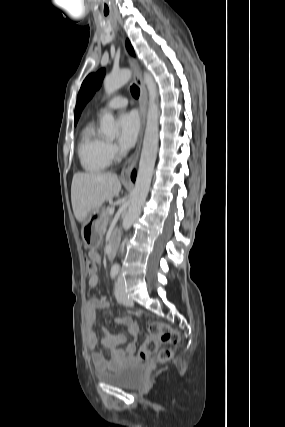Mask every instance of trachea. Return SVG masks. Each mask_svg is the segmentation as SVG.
Listing matches in <instances>:
<instances>
[{
	"label": "trachea",
	"mask_w": 285,
	"mask_h": 427,
	"mask_svg": "<svg viewBox=\"0 0 285 427\" xmlns=\"http://www.w3.org/2000/svg\"><path fill=\"white\" fill-rule=\"evenodd\" d=\"M131 94L134 98H138L140 94V89L136 85L130 87Z\"/></svg>",
	"instance_id": "trachea-1"
}]
</instances>
